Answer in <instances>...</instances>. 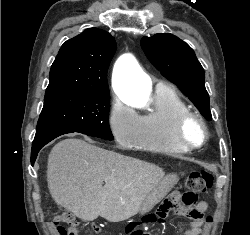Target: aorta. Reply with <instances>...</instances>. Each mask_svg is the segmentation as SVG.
<instances>
[{
	"instance_id": "aorta-1",
	"label": "aorta",
	"mask_w": 250,
	"mask_h": 235,
	"mask_svg": "<svg viewBox=\"0 0 250 235\" xmlns=\"http://www.w3.org/2000/svg\"><path fill=\"white\" fill-rule=\"evenodd\" d=\"M113 84L119 97L129 104L143 105L148 101L151 80L141 71L131 55H124L118 60Z\"/></svg>"
}]
</instances>
